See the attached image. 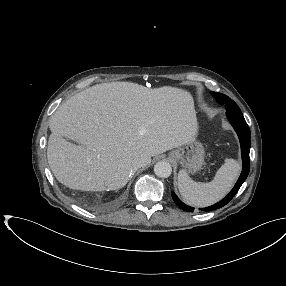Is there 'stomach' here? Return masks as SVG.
Listing matches in <instances>:
<instances>
[{
	"mask_svg": "<svg viewBox=\"0 0 286 286\" xmlns=\"http://www.w3.org/2000/svg\"><path fill=\"white\" fill-rule=\"evenodd\" d=\"M205 151L200 142H192L184 145L170 153V158L179 162L184 171L195 173L200 170L204 164Z\"/></svg>",
	"mask_w": 286,
	"mask_h": 286,
	"instance_id": "1",
	"label": "stomach"
}]
</instances>
